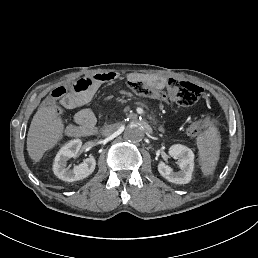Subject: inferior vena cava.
<instances>
[{
	"instance_id": "602c4592",
	"label": "inferior vena cava",
	"mask_w": 258,
	"mask_h": 258,
	"mask_svg": "<svg viewBox=\"0 0 258 258\" xmlns=\"http://www.w3.org/2000/svg\"><path fill=\"white\" fill-rule=\"evenodd\" d=\"M116 127L114 125H107L103 131H102V134L104 136H110L111 134H113L115 131H116Z\"/></svg>"
}]
</instances>
